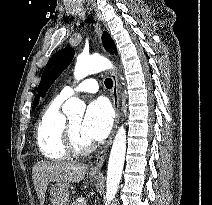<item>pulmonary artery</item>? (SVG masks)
Returning a JSON list of instances; mask_svg holds the SVG:
<instances>
[{"mask_svg": "<svg viewBox=\"0 0 212 205\" xmlns=\"http://www.w3.org/2000/svg\"><path fill=\"white\" fill-rule=\"evenodd\" d=\"M98 83L94 78H88L82 81L80 84L76 86H66L64 87L60 94L58 95L59 98L65 100L70 98L78 93H96L98 91Z\"/></svg>", "mask_w": 212, "mask_h": 205, "instance_id": "1", "label": "pulmonary artery"}]
</instances>
